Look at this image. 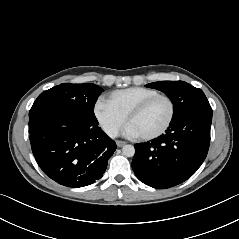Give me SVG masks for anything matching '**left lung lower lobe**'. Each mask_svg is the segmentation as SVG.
Returning <instances> with one entry per match:
<instances>
[{"mask_svg": "<svg viewBox=\"0 0 239 239\" xmlns=\"http://www.w3.org/2000/svg\"><path fill=\"white\" fill-rule=\"evenodd\" d=\"M211 121L212 109L191 111L172 120L164 135L135 144L132 168L137 178L158 189L190 178L207 156Z\"/></svg>", "mask_w": 239, "mask_h": 239, "instance_id": "left-lung-lower-lobe-1", "label": "left lung lower lobe"}]
</instances>
